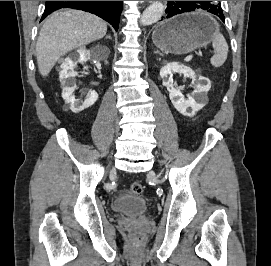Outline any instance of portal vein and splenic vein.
<instances>
[{
	"label": "portal vein and splenic vein",
	"instance_id": "portal-vein-and-splenic-vein-1",
	"mask_svg": "<svg viewBox=\"0 0 271 266\" xmlns=\"http://www.w3.org/2000/svg\"><path fill=\"white\" fill-rule=\"evenodd\" d=\"M192 58H193V54H190V55H188V56L185 58V61L188 62V61H190Z\"/></svg>",
	"mask_w": 271,
	"mask_h": 266
}]
</instances>
